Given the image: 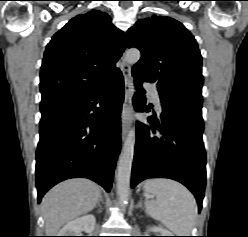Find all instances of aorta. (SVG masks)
I'll use <instances>...</instances> for the list:
<instances>
[{"label":"aorta","mask_w":248,"mask_h":237,"mask_svg":"<svg viewBox=\"0 0 248 237\" xmlns=\"http://www.w3.org/2000/svg\"><path fill=\"white\" fill-rule=\"evenodd\" d=\"M140 51L137 49H130L126 52L125 59L129 64H135L140 59ZM135 129H131L124 142L116 173V186L119 205L124 207L129 200L130 195V178L132 163L135 148Z\"/></svg>","instance_id":"762f6f07"}]
</instances>
